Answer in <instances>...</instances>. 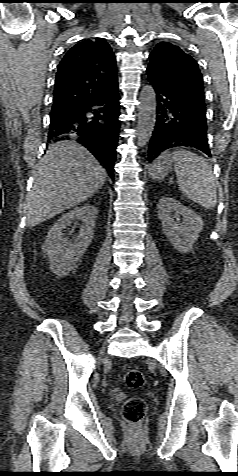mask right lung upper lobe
<instances>
[{
	"label": "right lung upper lobe",
	"instance_id": "1",
	"mask_svg": "<svg viewBox=\"0 0 238 476\" xmlns=\"http://www.w3.org/2000/svg\"><path fill=\"white\" fill-rule=\"evenodd\" d=\"M118 85L116 58L102 38L74 45L61 60L52 109H80Z\"/></svg>",
	"mask_w": 238,
	"mask_h": 476
}]
</instances>
